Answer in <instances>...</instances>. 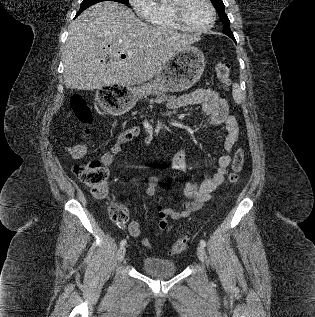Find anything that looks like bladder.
<instances>
[{"instance_id": "obj_1", "label": "bladder", "mask_w": 315, "mask_h": 317, "mask_svg": "<svg viewBox=\"0 0 315 317\" xmlns=\"http://www.w3.org/2000/svg\"><path fill=\"white\" fill-rule=\"evenodd\" d=\"M141 270L153 277H171L177 273V266L173 261L156 257H145L141 263Z\"/></svg>"}]
</instances>
